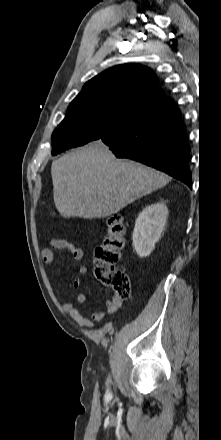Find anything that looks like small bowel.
Listing matches in <instances>:
<instances>
[{
	"instance_id": "1",
	"label": "small bowel",
	"mask_w": 221,
	"mask_h": 440,
	"mask_svg": "<svg viewBox=\"0 0 221 440\" xmlns=\"http://www.w3.org/2000/svg\"><path fill=\"white\" fill-rule=\"evenodd\" d=\"M58 249L67 251L74 260L80 261L83 258V251L74 246L71 242L64 239H53L49 241V247H46L41 250V259L48 266L51 267L55 261V254L52 250ZM79 272L81 275H85L88 273V267L85 265L80 266ZM82 285V279L80 277H76L73 281L74 288H80ZM77 302L79 304H84L86 302V295L84 293H79L77 295ZM123 302L122 298L117 296H112L105 301L106 309L104 311H94L91 312L89 317H84L79 310L71 303L64 302L62 303V309L68 312L78 323L82 326L91 328L94 326L95 321H102L107 316L114 314L118 308L121 306Z\"/></svg>"
}]
</instances>
